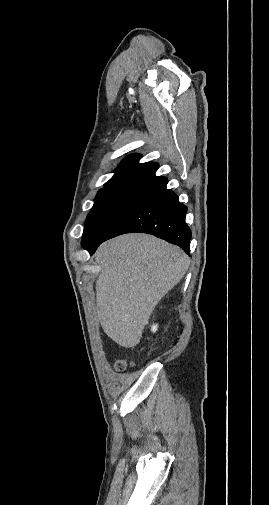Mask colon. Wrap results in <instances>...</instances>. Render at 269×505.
<instances>
[{
	"label": "colon",
	"mask_w": 269,
	"mask_h": 505,
	"mask_svg": "<svg viewBox=\"0 0 269 505\" xmlns=\"http://www.w3.org/2000/svg\"><path fill=\"white\" fill-rule=\"evenodd\" d=\"M128 364L125 360H119L116 362L115 367L118 371H123L127 368Z\"/></svg>",
	"instance_id": "1"
}]
</instances>
